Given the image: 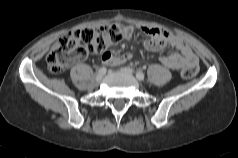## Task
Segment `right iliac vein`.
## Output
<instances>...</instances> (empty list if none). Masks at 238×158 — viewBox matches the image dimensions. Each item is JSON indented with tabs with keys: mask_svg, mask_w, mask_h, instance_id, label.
<instances>
[{
	"mask_svg": "<svg viewBox=\"0 0 238 158\" xmlns=\"http://www.w3.org/2000/svg\"><path fill=\"white\" fill-rule=\"evenodd\" d=\"M102 78H103V75L102 74H98L96 76V81L100 82L102 80Z\"/></svg>",
	"mask_w": 238,
	"mask_h": 158,
	"instance_id": "obj_1",
	"label": "right iliac vein"
}]
</instances>
